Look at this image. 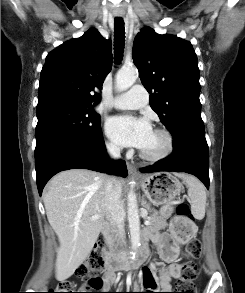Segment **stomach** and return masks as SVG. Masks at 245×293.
Wrapping results in <instances>:
<instances>
[{
  "label": "stomach",
  "mask_w": 245,
  "mask_h": 293,
  "mask_svg": "<svg viewBox=\"0 0 245 293\" xmlns=\"http://www.w3.org/2000/svg\"><path fill=\"white\" fill-rule=\"evenodd\" d=\"M139 183L149 201L160 206V215L164 218H169L173 213V203L180 196L182 184L171 173L157 172L150 175H144L139 178ZM195 234L193 225L178 239L183 242L190 240Z\"/></svg>",
  "instance_id": "1"
}]
</instances>
